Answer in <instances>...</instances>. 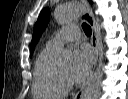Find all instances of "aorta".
<instances>
[{
    "mask_svg": "<svg viewBox=\"0 0 128 99\" xmlns=\"http://www.w3.org/2000/svg\"><path fill=\"white\" fill-rule=\"evenodd\" d=\"M82 11V5L79 2L71 1L56 8L54 18L58 23L64 24L77 18ZM73 53L65 48L59 49L56 54L58 64H67L72 61ZM102 65L91 76L88 84L82 92L81 99H98L101 91L103 78Z\"/></svg>",
    "mask_w": 128,
    "mask_h": 99,
    "instance_id": "aorta-1",
    "label": "aorta"
}]
</instances>
